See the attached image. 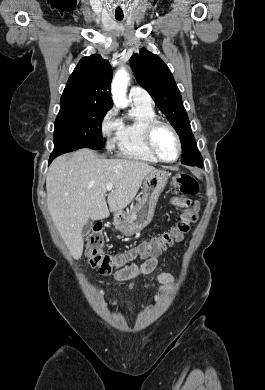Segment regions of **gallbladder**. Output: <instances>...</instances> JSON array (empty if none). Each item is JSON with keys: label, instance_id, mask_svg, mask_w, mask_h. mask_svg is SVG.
Returning <instances> with one entry per match:
<instances>
[{"label": "gallbladder", "instance_id": "gallbladder-1", "mask_svg": "<svg viewBox=\"0 0 265 390\" xmlns=\"http://www.w3.org/2000/svg\"><path fill=\"white\" fill-rule=\"evenodd\" d=\"M92 224H93L92 219H88V221L85 223L82 229L83 236H87L90 233L92 229Z\"/></svg>", "mask_w": 265, "mask_h": 390}]
</instances>
